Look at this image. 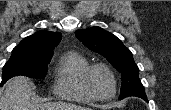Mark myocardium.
Instances as JSON below:
<instances>
[{
	"label": "myocardium",
	"mask_w": 171,
	"mask_h": 110,
	"mask_svg": "<svg viewBox=\"0 0 171 110\" xmlns=\"http://www.w3.org/2000/svg\"><path fill=\"white\" fill-rule=\"evenodd\" d=\"M97 69L105 70L111 77V80L113 83V92L111 95H109L107 97L98 96L92 89L90 79H91L92 73ZM83 85H84V88L87 91V93L90 95V97L96 101H109V100L113 99L117 93V87H118L117 79H116V76H115L113 70L108 65L103 64V63H97V64L90 65L86 69V71L83 74Z\"/></svg>",
	"instance_id": "obj_1"
}]
</instances>
